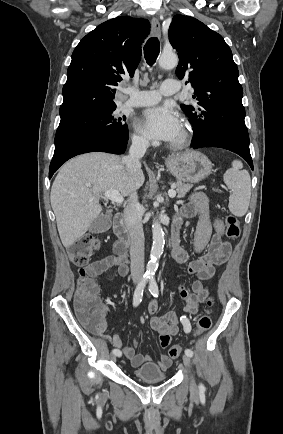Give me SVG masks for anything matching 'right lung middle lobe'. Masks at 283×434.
I'll use <instances>...</instances> for the list:
<instances>
[{
  "label": "right lung middle lobe",
  "mask_w": 283,
  "mask_h": 434,
  "mask_svg": "<svg viewBox=\"0 0 283 434\" xmlns=\"http://www.w3.org/2000/svg\"><path fill=\"white\" fill-rule=\"evenodd\" d=\"M115 108L61 117L55 147L71 139L95 133H108L128 139V126L121 122L125 117L115 118L112 115Z\"/></svg>",
  "instance_id": "dd1d6c3e"
}]
</instances>
